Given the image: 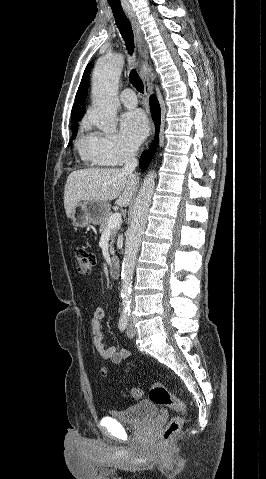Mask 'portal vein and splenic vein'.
I'll list each match as a JSON object with an SVG mask.
<instances>
[{
  "mask_svg": "<svg viewBox=\"0 0 266 479\" xmlns=\"http://www.w3.org/2000/svg\"><path fill=\"white\" fill-rule=\"evenodd\" d=\"M121 223H122L121 214L120 213H115L108 220L106 230H110V229L119 227Z\"/></svg>",
  "mask_w": 266,
  "mask_h": 479,
  "instance_id": "obj_1",
  "label": "portal vein and splenic vein"
}]
</instances>
